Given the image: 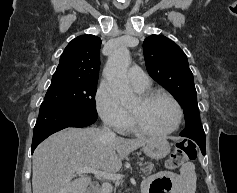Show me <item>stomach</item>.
<instances>
[{
    "mask_svg": "<svg viewBox=\"0 0 237 193\" xmlns=\"http://www.w3.org/2000/svg\"><path fill=\"white\" fill-rule=\"evenodd\" d=\"M142 151L150 158L159 160L165 158L170 152V144L164 138H154L145 144Z\"/></svg>",
    "mask_w": 237,
    "mask_h": 193,
    "instance_id": "obj_1",
    "label": "stomach"
}]
</instances>
